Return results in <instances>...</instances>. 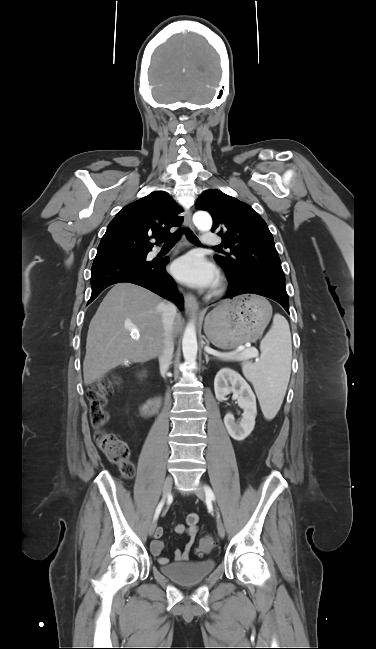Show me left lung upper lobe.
<instances>
[{
    "label": "left lung upper lobe",
    "instance_id": "1",
    "mask_svg": "<svg viewBox=\"0 0 376 649\" xmlns=\"http://www.w3.org/2000/svg\"><path fill=\"white\" fill-rule=\"evenodd\" d=\"M195 207L212 215L211 231H217L222 237V247L230 249L224 256L214 258L233 280L241 279L249 270L285 280L273 236L262 217L249 205L219 190H206Z\"/></svg>",
    "mask_w": 376,
    "mask_h": 649
}]
</instances>
